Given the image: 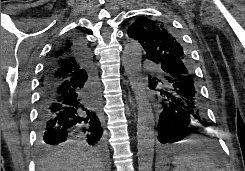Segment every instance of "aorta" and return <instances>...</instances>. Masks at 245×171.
<instances>
[{"instance_id":"obj_1","label":"aorta","mask_w":245,"mask_h":171,"mask_svg":"<svg viewBox=\"0 0 245 171\" xmlns=\"http://www.w3.org/2000/svg\"><path fill=\"white\" fill-rule=\"evenodd\" d=\"M142 47L138 42H129L123 51V65L136 92L138 102V171H152L154 157V115L148 102L142 75Z\"/></svg>"}]
</instances>
